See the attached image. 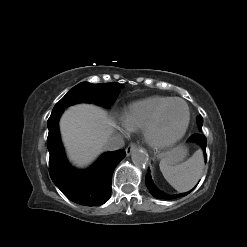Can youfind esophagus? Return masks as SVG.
<instances>
[{
  "label": "esophagus",
  "instance_id": "1",
  "mask_svg": "<svg viewBox=\"0 0 247 247\" xmlns=\"http://www.w3.org/2000/svg\"><path fill=\"white\" fill-rule=\"evenodd\" d=\"M135 149H136V144L135 143L129 144L127 146V148H126V154H127V156H129Z\"/></svg>",
  "mask_w": 247,
  "mask_h": 247
}]
</instances>
